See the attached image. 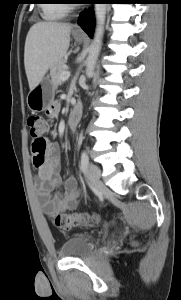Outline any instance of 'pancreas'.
<instances>
[{
    "mask_svg": "<svg viewBox=\"0 0 181 300\" xmlns=\"http://www.w3.org/2000/svg\"><path fill=\"white\" fill-rule=\"evenodd\" d=\"M65 62V58H62L50 69V76L55 88L62 83L61 75L66 71Z\"/></svg>",
    "mask_w": 181,
    "mask_h": 300,
    "instance_id": "pancreas-1",
    "label": "pancreas"
}]
</instances>
